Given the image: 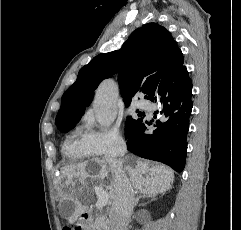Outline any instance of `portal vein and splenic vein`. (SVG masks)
<instances>
[{
	"label": "portal vein and splenic vein",
	"mask_w": 241,
	"mask_h": 230,
	"mask_svg": "<svg viewBox=\"0 0 241 230\" xmlns=\"http://www.w3.org/2000/svg\"><path fill=\"white\" fill-rule=\"evenodd\" d=\"M96 193H97V202H96V207L98 209L103 208L104 206L107 205L108 201H109V197L108 194L105 193V191H103L100 188L96 189Z\"/></svg>",
	"instance_id": "obj_1"
}]
</instances>
